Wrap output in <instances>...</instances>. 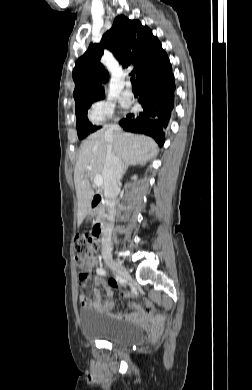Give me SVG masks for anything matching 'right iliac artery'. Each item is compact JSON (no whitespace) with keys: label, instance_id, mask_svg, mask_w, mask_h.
I'll list each match as a JSON object with an SVG mask.
<instances>
[{"label":"right iliac artery","instance_id":"1","mask_svg":"<svg viewBox=\"0 0 252 390\" xmlns=\"http://www.w3.org/2000/svg\"><path fill=\"white\" fill-rule=\"evenodd\" d=\"M97 273L100 275H106V271L103 268L97 269ZM117 280H121V283H125V280H123V277H117Z\"/></svg>","mask_w":252,"mask_h":390}]
</instances>
